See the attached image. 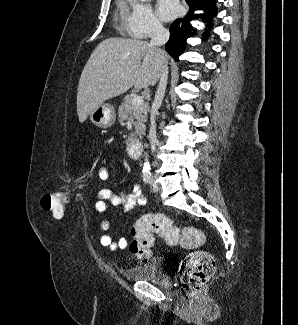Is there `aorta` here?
Returning a JSON list of instances; mask_svg holds the SVG:
<instances>
[{"label": "aorta", "instance_id": "obj_1", "mask_svg": "<svg viewBox=\"0 0 298 325\" xmlns=\"http://www.w3.org/2000/svg\"><path fill=\"white\" fill-rule=\"evenodd\" d=\"M140 2H148V0H140ZM150 160L149 158H144V165L142 167V173H150Z\"/></svg>", "mask_w": 298, "mask_h": 325}]
</instances>
